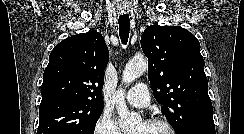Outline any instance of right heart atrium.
Returning a JSON list of instances; mask_svg holds the SVG:
<instances>
[{
    "instance_id": "1",
    "label": "right heart atrium",
    "mask_w": 244,
    "mask_h": 134,
    "mask_svg": "<svg viewBox=\"0 0 244 134\" xmlns=\"http://www.w3.org/2000/svg\"><path fill=\"white\" fill-rule=\"evenodd\" d=\"M94 134H123L111 114L103 112L94 125Z\"/></svg>"
}]
</instances>
